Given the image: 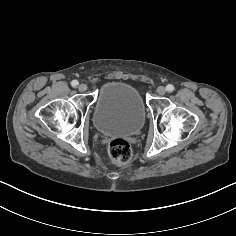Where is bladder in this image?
I'll list each match as a JSON object with an SVG mask.
<instances>
[{"instance_id": "obj_1", "label": "bladder", "mask_w": 236, "mask_h": 236, "mask_svg": "<svg viewBox=\"0 0 236 236\" xmlns=\"http://www.w3.org/2000/svg\"><path fill=\"white\" fill-rule=\"evenodd\" d=\"M145 122V107L138 90L127 83L112 81L100 89L93 123L103 135H133Z\"/></svg>"}]
</instances>
